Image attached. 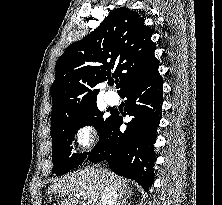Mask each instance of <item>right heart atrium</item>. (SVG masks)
<instances>
[{
  "label": "right heart atrium",
  "mask_w": 222,
  "mask_h": 205,
  "mask_svg": "<svg viewBox=\"0 0 222 205\" xmlns=\"http://www.w3.org/2000/svg\"><path fill=\"white\" fill-rule=\"evenodd\" d=\"M94 131L89 124L82 125L76 132V142L82 147L89 146L94 141Z\"/></svg>",
  "instance_id": "obj_1"
}]
</instances>
